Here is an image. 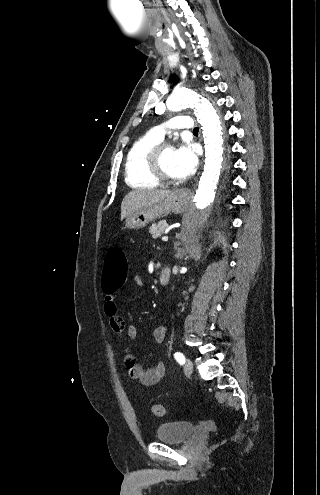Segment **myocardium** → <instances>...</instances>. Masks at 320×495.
I'll return each mask as SVG.
<instances>
[{"mask_svg": "<svg viewBox=\"0 0 320 495\" xmlns=\"http://www.w3.org/2000/svg\"><path fill=\"white\" fill-rule=\"evenodd\" d=\"M173 147L170 142H160L147 154V166L150 173L159 181L173 183L176 178L169 176L162 168L161 157L166 148Z\"/></svg>", "mask_w": 320, "mask_h": 495, "instance_id": "myocardium-1", "label": "myocardium"}]
</instances>
